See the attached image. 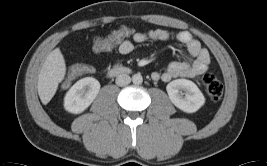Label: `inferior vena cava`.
<instances>
[{
  "label": "inferior vena cava",
  "instance_id": "602c4592",
  "mask_svg": "<svg viewBox=\"0 0 267 166\" xmlns=\"http://www.w3.org/2000/svg\"><path fill=\"white\" fill-rule=\"evenodd\" d=\"M116 84L118 86H125L128 85L131 82V78L127 74H120L116 77Z\"/></svg>",
  "mask_w": 267,
  "mask_h": 166
}]
</instances>
